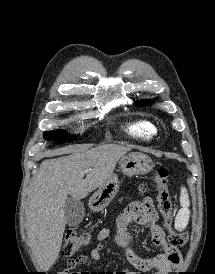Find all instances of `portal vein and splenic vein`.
Wrapping results in <instances>:
<instances>
[{"label":"portal vein and splenic vein","mask_w":215,"mask_h":274,"mask_svg":"<svg viewBox=\"0 0 215 274\" xmlns=\"http://www.w3.org/2000/svg\"><path fill=\"white\" fill-rule=\"evenodd\" d=\"M87 173H88V170H85V171H83V172L81 173V175L84 176V175L87 174Z\"/></svg>","instance_id":"portal-vein-and-splenic-vein-1"}]
</instances>
